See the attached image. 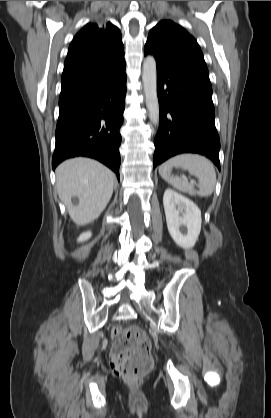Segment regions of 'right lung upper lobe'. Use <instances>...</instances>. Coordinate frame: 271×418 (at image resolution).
Listing matches in <instances>:
<instances>
[{
	"label": "right lung upper lobe",
	"instance_id": "obj_1",
	"mask_svg": "<svg viewBox=\"0 0 271 418\" xmlns=\"http://www.w3.org/2000/svg\"><path fill=\"white\" fill-rule=\"evenodd\" d=\"M124 66L119 29L109 22L88 23L69 46L59 103L93 89Z\"/></svg>",
	"mask_w": 271,
	"mask_h": 418
}]
</instances>
